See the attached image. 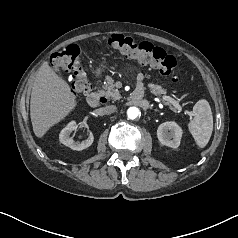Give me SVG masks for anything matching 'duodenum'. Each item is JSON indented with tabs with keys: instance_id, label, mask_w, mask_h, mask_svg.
<instances>
[{
	"instance_id": "obj_1",
	"label": "duodenum",
	"mask_w": 238,
	"mask_h": 238,
	"mask_svg": "<svg viewBox=\"0 0 238 238\" xmlns=\"http://www.w3.org/2000/svg\"><path fill=\"white\" fill-rule=\"evenodd\" d=\"M144 95V89L142 85H138L133 92L131 93L130 99L132 101H139L143 98ZM106 99L102 95V93L98 90L95 89L87 95V103L91 107H98L100 104L104 103Z\"/></svg>"
}]
</instances>
